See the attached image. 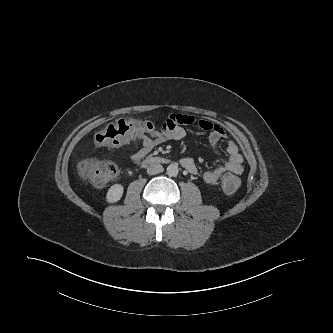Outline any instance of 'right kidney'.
Wrapping results in <instances>:
<instances>
[{"label": "right kidney", "instance_id": "obj_1", "mask_svg": "<svg viewBox=\"0 0 333 333\" xmlns=\"http://www.w3.org/2000/svg\"><path fill=\"white\" fill-rule=\"evenodd\" d=\"M123 195V186L121 184H114L112 185L107 194L106 199L109 203L118 202Z\"/></svg>", "mask_w": 333, "mask_h": 333}]
</instances>
